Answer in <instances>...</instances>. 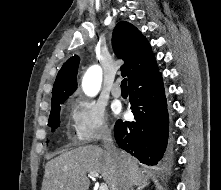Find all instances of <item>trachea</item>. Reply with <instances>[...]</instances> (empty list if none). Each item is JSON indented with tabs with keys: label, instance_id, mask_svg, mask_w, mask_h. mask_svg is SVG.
<instances>
[{
	"label": "trachea",
	"instance_id": "obj_1",
	"mask_svg": "<svg viewBox=\"0 0 221 190\" xmlns=\"http://www.w3.org/2000/svg\"><path fill=\"white\" fill-rule=\"evenodd\" d=\"M121 89L127 90V79L126 78H124L121 82Z\"/></svg>",
	"mask_w": 221,
	"mask_h": 190
}]
</instances>
